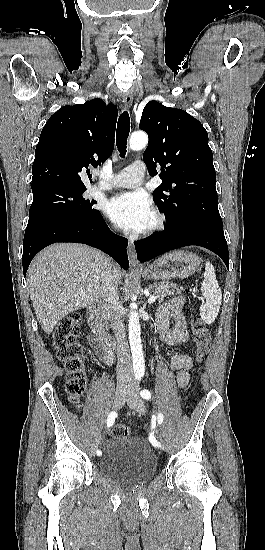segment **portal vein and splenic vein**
<instances>
[{"label":"portal vein and splenic vein","mask_w":265,"mask_h":550,"mask_svg":"<svg viewBox=\"0 0 265 550\" xmlns=\"http://www.w3.org/2000/svg\"><path fill=\"white\" fill-rule=\"evenodd\" d=\"M157 297L156 296H151L148 298V303H154L156 301Z\"/></svg>","instance_id":"obj_1"}]
</instances>
